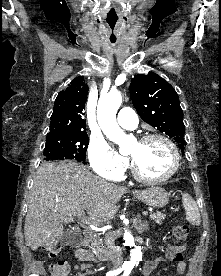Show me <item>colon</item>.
Instances as JSON below:
<instances>
[{
	"label": "colon",
	"instance_id": "colon-1",
	"mask_svg": "<svg viewBox=\"0 0 221 276\" xmlns=\"http://www.w3.org/2000/svg\"><path fill=\"white\" fill-rule=\"evenodd\" d=\"M188 233L189 227L186 224H178L173 230L175 239L181 244L186 242ZM44 249L51 257H55L59 250L57 246H46ZM49 272L50 276H68L69 266L65 261L58 260L50 265Z\"/></svg>",
	"mask_w": 221,
	"mask_h": 276
}]
</instances>
